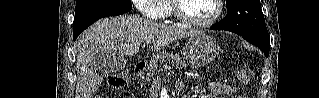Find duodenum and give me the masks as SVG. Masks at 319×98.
<instances>
[{
    "mask_svg": "<svg viewBox=\"0 0 319 98\" xmlns=\"http://www.w3.org/2000/svg\"><path fill=\"white\" fill-rule=\"evenodd\" d=\"M146 68V62H139L136 64L134 68V74L135 76H141Z\"/></svg>",
    "mask_w": 319,
    "mask_h": 98,
    "instance_id": "410a0bca",
    "label": "duodenum"
}]
</instances>
